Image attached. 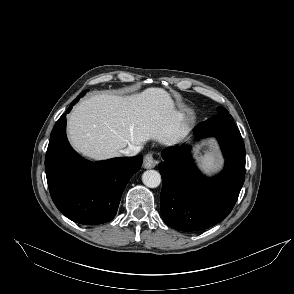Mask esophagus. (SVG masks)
<instances>
[{
	"label": "esophagus",
	"instance_id": "esophagus-1",
	"mask_svg": "<svg viewBox=\"0 0 294 294\" xmlns=\"http://www.w3.org/2000/svg\"><path fill=\"white\" fill-rule=\"evenodd\" d=\"M156 163L157 162L154 160L153 156L151 154H147L143 160V167L146 169H151L156 166Z\"/></svg>",
	"mask_w": 294,
	"mask_h": 294
}]
</instances>
